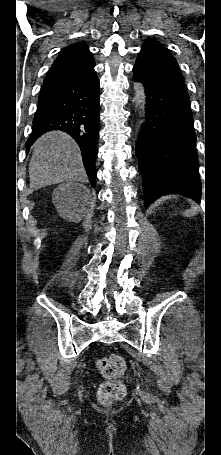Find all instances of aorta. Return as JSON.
I'll return each mask as SVG.
<instances>
[{
    "instance_id": "1",
    "label": "aorta",
    "mask_w": 221,
    "mask_h": 455,
    "mask_svg": "<svg viewBox=\"0 0 221 455\" xmlns=\"http://www.w3.org/2000/svg\"><path fill=\"white\" fill-rule=\"evenodd\" d=\"M140 92H141V87L137 86L136 87L135 96L133 98V103H134V105L136 107H139L140 115L142 116V115H144V105L141 102V96H140L141 94H140Z\"/></svg>"
}]
</instances>
